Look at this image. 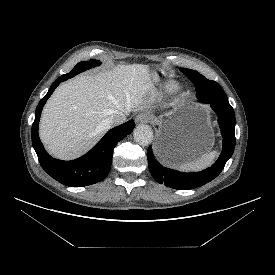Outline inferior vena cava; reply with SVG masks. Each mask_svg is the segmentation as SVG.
Instances as JSON below:
<instances>
[{"label":"inferior vena cava","mask_w":275,"mask_h":275,"mask_svg":"<svg viewBox=\"0 0 275 275\" xmlns=\"http://www.w3.org/2000/svg\"><path fill=\"white\" fill-rule=\"evenodd\" d=\"M126 122V115L123 112L117 111L105 120L108 126H116Z\"/></svg>","instance_id":"inferior-vena-cava-1"}]
</instances>
